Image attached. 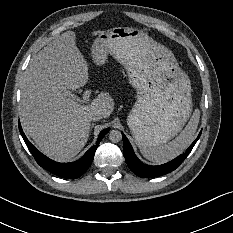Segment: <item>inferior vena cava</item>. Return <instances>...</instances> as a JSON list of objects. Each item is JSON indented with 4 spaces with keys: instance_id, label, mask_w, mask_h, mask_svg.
Returning a JSON list of instances; mask_svg holds the SVG:
<instances>
[{
    "instance_id": "602c4592",
    "label": "inferior vena cava",
    "mask_w": 233,
    "mask_h": 233,
    "mask_svg": "<svg viewBox=\"0 0 233 233\" xmlns=\"http://www.w3.org/2000/svg\"><path fill=\"white\" fill-rule=\"evenodd\" d=\"M103 118V114L99 110H95L89 114V119L91 121H99Z\"/></svg>"
}]
</instances>
